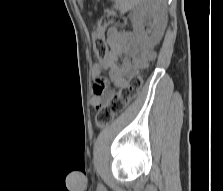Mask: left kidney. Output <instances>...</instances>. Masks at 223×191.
<instances>
[{"mask_svg": "<svg viewBox=\"0 0 223 191\" xmlns=\"http://www.w3.org/2000/svg\"><path fill=\"white\" fill-rule=\"evenodd\" d=\"M166 0H145L133 16V29L138 42L145 47L155 46L161 39L166 23ZM146 19L150 21L145 28Z\"/></svg>", "mask_w": 223, "mask_h": 191, "instance_id": "left-kidney-1", "label": "left kidney"}]
</instances>
